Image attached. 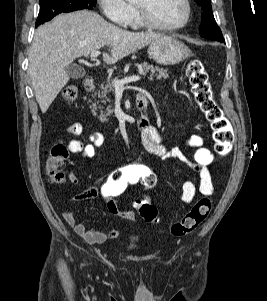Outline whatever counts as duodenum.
Returning a JSON list of instances; mask_svg holds the SVG:
<instances>
[{
	"instance_id": "410a0bca",
	"label": "duodenum",
	"mask_w": 267,
	"mask_h": 301,
	"mask_svg": "<svg viewBox=\"0 0 267 301\" xmlns=\"http://www.w3.org/2000/svg\"><path fill=\"white\" fill-rule=\"evenodd\" d=\"M83 87L87 92H92L94 88V81L92 79H85ZM148 98L144 93H140L136 97V108L139 113L137 120L138 129L142 130L150 125L147 115Z\"/></svg>"
}]
</instances>
